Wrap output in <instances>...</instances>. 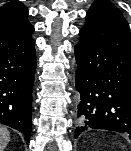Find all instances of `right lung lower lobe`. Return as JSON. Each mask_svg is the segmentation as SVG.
<instances>
[{
  "instance_id": "98d812e1",
  "label": "right lung lower lobe",
  "mask_w": 131,
  "mask_h": 151,
  "mask_svg": "<svg viewBox=\"0 0 131 151\" xmlns=\"http://www.w3.org/2000/svg\"><path fill=\"white\" fill-rule=\"evenodd\" d=\"M0 37V123L31 134L36 51L31 33Z\"/></svg>"
}]
</instances>
